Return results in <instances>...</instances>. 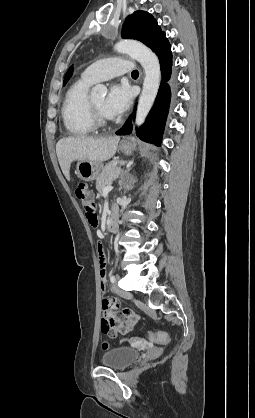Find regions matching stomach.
Segmentation results:
<instances>
[{"label":"stomach","mask_w":255,"mask_h":418,"mask_svg":"<svg viewBox=\"0 0 255 418\" xmlns=\"http://www.w3.org/2000/svg\"><path fill=\"white\" fill-rule=\"evenodd\" d=\"M119 149L125 154H130L133 146L130 142H122L119 146ZM103 168L104 167L102 162L79 161L76 167V174L83 181L89 182L97 179Z\"/></svg>","instance_id":"0dacf381"}]
</instances>
